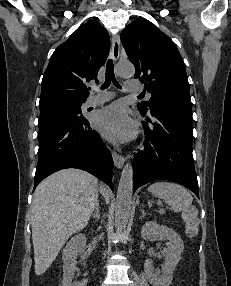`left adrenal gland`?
I'll list each match as a JSON object with an SVG mask.
<instances>
[{
  "instance_id": "obj_1",
  "label": "left adrenal gland",
  "mask_w": 231,
  "mask_h": 286,
  "mask_svg": "<svg viewBox=\"0 0 231 286\" xmlns=\"http://www.w3.org/2000/svg\"><path fill=\"white\" fill-rule=\"evenodd\" d=\"M140 211H141V213H142L141 218L144 217V216L147 214V213H145L144 209H140Z\"/></svg>"
}]
</instances>
